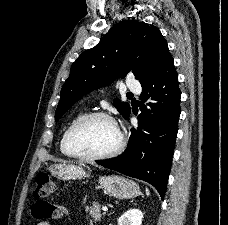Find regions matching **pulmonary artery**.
Here are the masks:
<instances>
[{"instance_id":"pulmonary-artery-1","label":"pulmonary artery","mask_w":228,"mask_h":225,"mask_svg":"<svg viewBox=\"0 0 228 225\" xmlns=\"http://www.w3.org/2000/svg\"><path fill=\"white\" fill-rule=\"evenodd\" d=\"M127 79L128 80H133L134 76L133 75H128ZM126 85L130 86L129 87L130 90H134L136 93H139L141 88H142L139 81H127Z\"/></svg>"}]
</instances>
